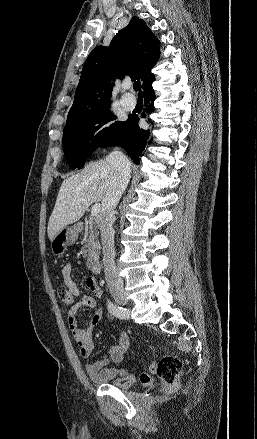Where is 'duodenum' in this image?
Returning <instances> with one entry per match:
<instances>
[{
	"label": "duodenum",
	"instance_id": "obj_1",
	"mask_svg": "<svg viewBox=\"0 0 257 439\" xmlns=\"http://www.w3.org/2000/svg\"><path fill=\"white\" fill-rule=\"evenodd\" d=\"M90 267H91L92 272L95 275H98L100 273V271H101V265H100V263L98 261L90 262Z\"/></svg>",
	"mask_w": 257,
	"mask_h": 439
}]
</instances>
